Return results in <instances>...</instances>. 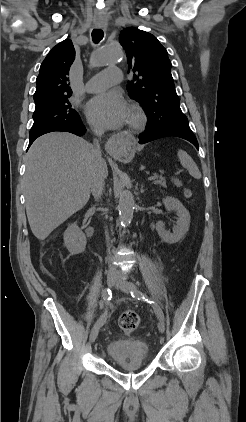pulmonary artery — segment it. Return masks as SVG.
<instances>
[{
  "mask_svg": "<svg viewBox=\"0 0 246 422\" xmlns=\"http://www.w3.org/2000/svg\"><path fill=\"white\" fill-rule=\"evenodd\" d=\"M122 80V71L119 68H108L94 75L86 84L85 90L89 93L103 90Z\"/></svg>",
  "mask_w": 246,
  "mask_h": 422,
  "instance_id": "obj_1",
  "label": "pulmonary artery"
}]
</instances>
